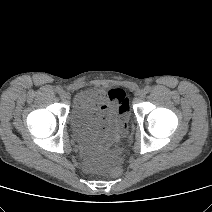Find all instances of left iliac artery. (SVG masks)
<instances>
[{
	"label": "left iliac artery",
	"mask_w": 212,
	"mask_h": 212,
	"mask_svg": "<svg viewBox=\"0 0 212 212\" xmlns=\"http://www.w3.org/2000/svg\"><path fill=\"white\" fill-rule=\"evenodd\" d=\"M145 90H146V93H149L151 91V87L150 86H146Z\"/></svg>",
	"instance_id": "obj_1"
}]
</instances>
